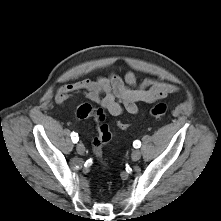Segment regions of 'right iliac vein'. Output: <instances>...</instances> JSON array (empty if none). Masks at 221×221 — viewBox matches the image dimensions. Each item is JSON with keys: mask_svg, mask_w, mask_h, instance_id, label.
I'll return each mask as SVG.
<instances>
[{"mask_svg": "<svg viewBox=\"0 0 221 221\" xmlns=\"http://www.w3.org/2000/svg\"><path fill=\"white\" fill-rule=\"evenodd\" d=\"M76 150L78 152V154L80 155H84L85 154V147L82 143H78L76 146Z\"/></svg>", "mask_w": 221, "mask_h": 221, "instance_id": "obj_1", "label": "right iliac vein"}]
</instances>
